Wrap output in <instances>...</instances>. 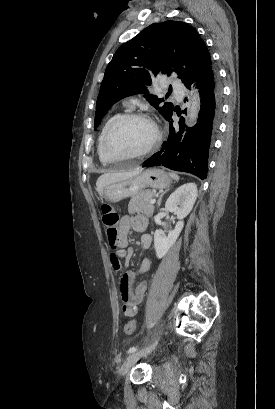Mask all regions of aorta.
Listing matches in <instances>:
<instances>
[{
	"instance_id": "aorta-1",
	"label": "aorta",
	"mask_w": 275,
	"mask_h": 409,
	"mask_svg": "<svg viewBox=\"0 0 275 409\" xmlns=\"http://www.w3.org/2000/svg\"><path fill=\"white\" fill-rule=\"evenodd\" d=\"M200 108V98L197 90H193L191 104L188 108L189 124H193L197 120L198 112Z\"/></svg>"
}]
</instances>
